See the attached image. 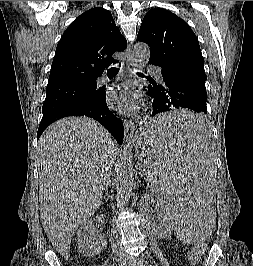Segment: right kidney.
I'll use <instances>...</instances> for the list:
<instances>
[{"instance_id": "right-kidney-1", "label": "right kidney", "mask_w": 253, "mask_h": 266, "mask_svg": "<svg viewBox=\"0 0 253 266\" xmlns=\"http://www.w3.org/2000/svg\"><path fill=\"white\" fill-rule=\"evenodd\" d=\"M79 252L87 257L98 255L105 247V238L93 220H87L77 230Z\"/></svg>"}]
</instances>
